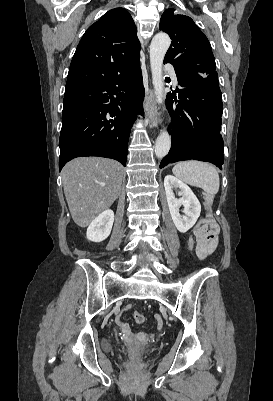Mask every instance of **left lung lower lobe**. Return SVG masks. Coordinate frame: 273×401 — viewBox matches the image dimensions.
Returning <instances> with one entry per match:
<instances>
[{
  "label": "left lung lower lobe",
  "instance_id": "obj_1",
  "mask_svg": "<svg viewBox=\"0 0 273 401\" xmlns=\"http://www.w3.org/2000/svg\"><path fill=\"white\" fill-rule=\"evenodd\" d=\"M171 64L182 88L176 91L179 101L171 93L167 94L165 101L174 116V124L172 129L171 126L169 128L172 133L171 150L161 161L160 168L169 163L195 159L211 162L222 169L224 154L220 130L223 104L217 72L206 76L190 74Z\"/></svg>",
  "mask_w": 273,
  "mask_h": 401
}]
</instances>
